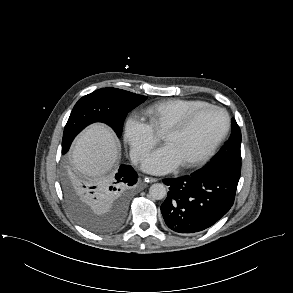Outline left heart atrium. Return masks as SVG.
Here are the masks:
<instances>
[{
    "label": "left heart atrium",
    "instance_id": "left-heart-atrium-1",
    "mask_svg": "<svg viewBox=\"0 0 293 293\" xmlns=\"http://www.w3.org/2000/svg\"><path fill=\"white\" fill-rule=\"evenodd\" d=\"M180 164L173 149L166 144L144 159L143 168L151 173L162 174L172 171Z\"/></svg>",
    "mask_w": 293,
    "mask_h": 293
}]
</instances>
